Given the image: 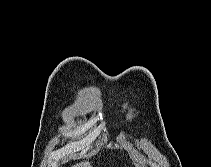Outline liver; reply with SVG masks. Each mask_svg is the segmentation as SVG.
<instances>
[{
	"instance_id": "1",
	"label": "liver",
	"mask_w": 211,
	"mask_h": 167,
	"mask_svg": "<svg viewBox=\"0 0 211 167\" xmlns=\"http://www.w3.org/2000/svg\"><path fill=\"white\" fill-rule=\"evenodd\" d=\"M73 167H92L89 162L81 163V164H76Z\"/></svg>"
}]
</instances>
